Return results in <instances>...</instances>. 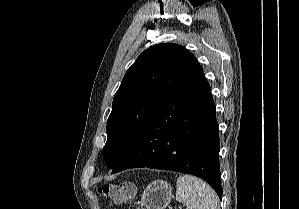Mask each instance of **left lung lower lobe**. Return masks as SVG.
Segmentation results:
<instances>
[{"label":"left lung lower lobe","instance_id":"left-lung-lower-lobe-1","mask_svg":"<svg viewBox=\"0 0 299 209\" xmlns=\"http://www.w3.org/2000/svg\"><path fill=\"white\" fill-rule=\"evenodd\" d=\"M219 150L215 104L202 71L158 110L112 174L137 167L188 173L221 199Z\"/></svg>","mask_w":299,"mask_h":209}]
</instances>
